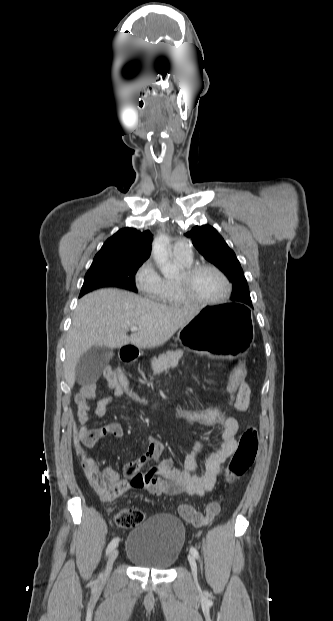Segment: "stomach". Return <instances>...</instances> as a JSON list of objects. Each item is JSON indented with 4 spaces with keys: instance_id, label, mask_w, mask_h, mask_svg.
I'll use <instances>...</instances> for the list:
<instances>
[{
    "instance_id": "stomach-1",
    "label": "stomach",
    "mask_w": 333,
    "mask_h": 621,
    "mask_svg": "<svg viewBox=\"0 0 333 621\" xmlns=\"http://www.w3.org/2000/svg\"><path fill=\"white\" fill-rule=\"evenodd\" d=\"M252 312L242 305L207 306L180 328L177 338L206 360L219 352L234 365H241L252 344Z\"/></svg>"
}]
</instances>
